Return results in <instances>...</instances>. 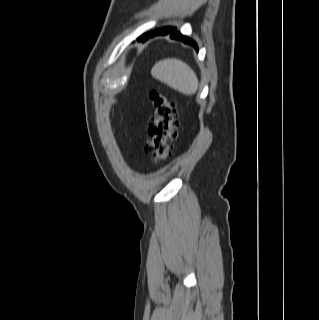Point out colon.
I'll return each instance as SVG.
<instances>
[{"label": "colon", "instance_id": "5ec220e1", "mask_svg": "<svg viewBox=\"0 0 319 320\" xmlns=\"http://www.w3.org/2000/svg\"><path fill=\"white\" fill-rule=\"evenodd\" d=\"M149 97L153 114L148 127L150 141L145 151L154 161H165L174 150L180 122L173 104L164 93L151 90Z\"/></svg>", "mask_w": 319, "mask_h": 320}]
</instances>
